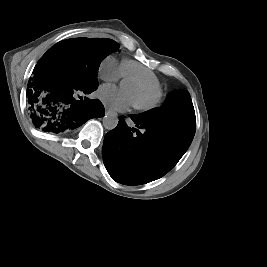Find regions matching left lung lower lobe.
Segmentation results:
<instances>
[{"instance_id": "1", "label": "left lung lower lobe", "mask_w": 267, "mask_h": 267, "mask_svg": "<svg viewBox=\"0 0 267 267\" xmlns=\"http://www.w3.org/2000/svg\"><path fill=\"white\" fill-rule=\"evenodd\" d=\"M136 128L122 117L103 143V161L110 176L125 185H138L164 176L190 146L192 134L172 126L145 123L130 115Z\"/></svg>"}]
</instances>
